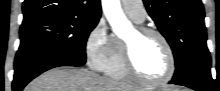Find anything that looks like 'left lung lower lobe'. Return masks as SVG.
<instances>
[{
	"mask_svg": "<svg viewBox=\"0 0 220 91\" xmlns=\"http://www.w3.org/2000/svg\"><path fill=\"white\" fill-rule=\"evenodd\" d=\"M211 64H202L184 74L174 76L170 84L182 85L196 91H213L214 80L210 73Z\"/></svg>",
	"mask_w": 220,
	"mask_h": 91,
	"instance_id": "left-lung-lower-lobe-1",
	"label": "left lung lower lobe"
}]
</instances>
